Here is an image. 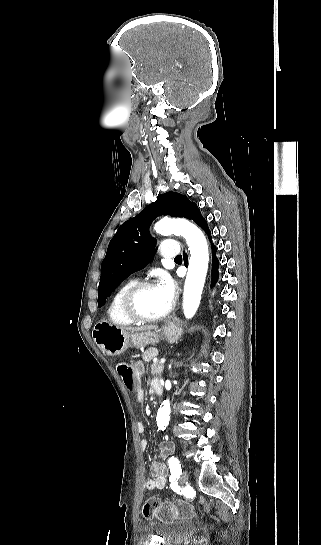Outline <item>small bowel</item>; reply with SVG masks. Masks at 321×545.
<instances>
[{
  "label": "small bowel",
  "instance_id": "c3829d8e",
  "mask_svg": "<svg viewBox=\"0 0 321 545\" xmlns=\"http://www.w3.org/2000/svg\"><path fill=\"white\" fill-rule=\"evenodd\" d=\"M152 388L155 390L156 387H160V382L158 380H153L151 382ZM145 399L144 392L141 389L136 391V400L139 403H143ZM137 430L139 433L145 431V426L142 422L137 423ZM148 442L146 439H141L140 447L142 450H146ZM172 452V445L168 442H162L159 446V458L164 459ZM151 479L147 480L145 483V488L147 490L162 489L165 487L166 483V468L160 462H153L150 467Z\"/></svg>",
  "mask_w": 321,
  "mask_h": 545
}]
</instances>
